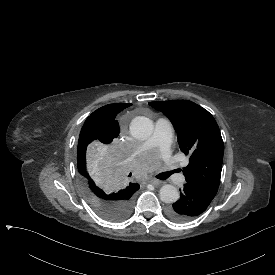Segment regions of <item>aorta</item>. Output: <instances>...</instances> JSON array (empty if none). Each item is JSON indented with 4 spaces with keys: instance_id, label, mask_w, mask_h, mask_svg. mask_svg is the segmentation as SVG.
<instances>
[{
    "instance_id": "obj_1",
    "label": "aorta",
    "mask_w": 275,
    "mask_h": 275,
    "mask_svg": "<svg viewBox=\"0 0 275 275\" xmlns=\"http://www.w3.org/2000/svg\"><path fill=\"white\" fill-rule=\"evenodd\" d=\"M153 122L145 116H137L130 123L131 135L137 140H146L153 133ZM160 199L164 203H174L179 199L176 187L170 184L163 185L160 189Z\"/></svg>"
}]
</instances>
